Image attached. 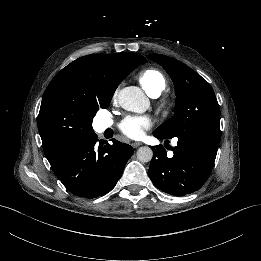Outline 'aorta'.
Returning <instances> with one entry per match:
<instances>
[{"label": "aorta", "instance_id": "obj_1", "mask_svg": "<svg viewBox=\"0 0 261 261\" xmlns=\"http://www.w3.org/2000/svg\"><path fill=\"white\" fill-rule=\"evenodd\" d=\"M120 106L127 110L136 113H143L149 107V99L137 87L129 86L123 88L118 94ZM137 159L142 163H147L152 160L153 151L148 146L140 147L137 150Z\"/></svg>", "mask_w": 261, "mask_h": 261}]
</instances>
